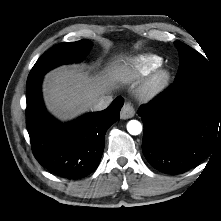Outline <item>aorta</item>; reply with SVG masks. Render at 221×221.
Returning <instances> with one entry per match:
<instances>
[{
	"instance_id": "aorta-1",
	"label": "aorta",
	"mask_w": 221,
	"mask_h": 221,
	"mask_svg": "<svg viewBox=\"0 0 221 221\" xmlns=\"http://www.w3.org/2000/svg\"><path fill=\"white\" fill-rule=\"evenodd\" d=\"M127 131L131 135H139L142 132V125L139 121L137 120H130L127 123Z\"/></svg>"
}]
</instances>
